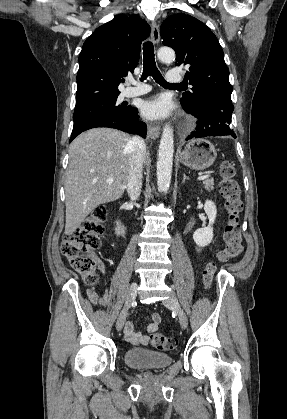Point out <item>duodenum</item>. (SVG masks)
<instances>
[{"label": "duodenum", "instance_id": "410a0bca", "mask_svg": "<svg viewBox=\"0 0 287 419\" xmlns=\"http://www.w3.org/2000/svg\"><path fill=\"white\" fill-rule=\"evenodd\" d=\"M115 230H116V233L120 236H123L125 234L126 226L121 218H117L116 223H115Z\"/></svg>", "mask_w": 287, "mask_h": 419}]
</instances>
